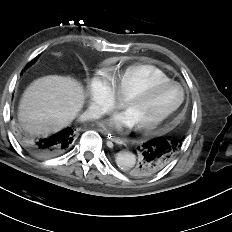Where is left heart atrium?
I'll list each match as a JSON object with an SVG mask.
<instances>
[{
	"mask_svg": "<svg viewBox=\"0 0 232 232\" xmlns=\"http://www.w3.org/2000/svg\"><path fill=\"white\" fill-rule=\"evenodd\" d=\"M107 124L116 130L135 126L133 119L127 111L113 116L107 121Z\"/></svg>",
	"mask_w": 232,
	"mask_h": 232,
	"instance_id": "left-heart-atrium-1",
	"label": "left heart atrium"
}]
</instances>
